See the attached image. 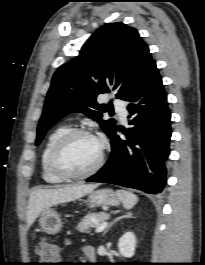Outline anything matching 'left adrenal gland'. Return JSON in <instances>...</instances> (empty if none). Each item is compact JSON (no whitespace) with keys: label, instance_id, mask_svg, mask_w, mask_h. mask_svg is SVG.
<instances>
[{"label":"left adrenal gland","instance_id":"1","mask_svg":"<svg viewBox=\"0 0 205 265\" xmlns=\"http://www.w3.org/2000/svg\"><path fill=\"white\" fill-rule=\"evenodd\" d=\"M132 216V213L131 212H127L126 214H124V215H122V216H120V217H117V218H115L108 226H107V228L104 230V232H103V236L108 232V230L113 226V224L115 223V222H117V221H119V220H121L122 218H129V217H131Z\"/></svg>","mask_w":205,"mask_h":265}]
</instances>
